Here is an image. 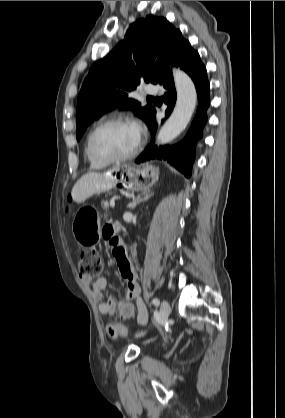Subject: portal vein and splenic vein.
<instances>
[{"instance_id": "obj_1", "label": "portal vein and splenic vein", "mask_w": 285, "mask_h": 418, "mask_svg": "<svg viewBox=\"0 0 285 418\" xmlns=\"http://www.w3.org/2000/svg\"><path fill=\"white\" fill-rule=\"evenodd\" d=\"M110 205H111L112 207H115V201H114V200H112V201L110 202Z\"/></svg>"}]
</instances>
